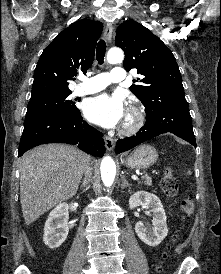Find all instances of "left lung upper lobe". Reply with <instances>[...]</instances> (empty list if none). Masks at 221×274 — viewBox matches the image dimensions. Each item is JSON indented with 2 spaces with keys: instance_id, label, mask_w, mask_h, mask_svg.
Wrapping results in <instances>:
<instances>
[{
  "instance_id": "1",
  "label": "left lung upper lobe",
  "mask_w": 221,
  "mask_h": 274,
  "mask_svg": "<svg viewBox=\"0 0 221 274\" xmlns=\"http://www.w3.org/2000/svg\"><path fill=\"white\" fill-rule=\"evenodd\" d=\"M115 45L125 53L124 68L137 69L131 92L145 106L146 113L184 100L182 77L174 55L149 29L133 20L116 31Z\"/></svg>"
}]
</instances>
